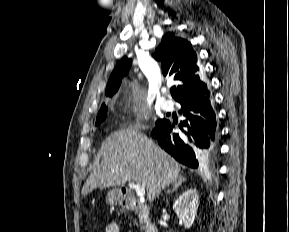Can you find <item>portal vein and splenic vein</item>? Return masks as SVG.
<instances>
[{"instance_id": "18ae733b", "label": "portal vein and splenic vein", "mask_w": 289, "mask_h": 232, "mask_svg": "<svg viewBox=\"0 0 289 232\" xmlns=\"http://www.w3.org/2000/svg\"><path fill=\"white\" fill-rule=\"evenodd\" d=\"M129 187L134 189L136 191V194L138 197L143 198L145 195V189L139 185H137L136 183L133 182H129Z\"/></svg>"}]
</instances>
